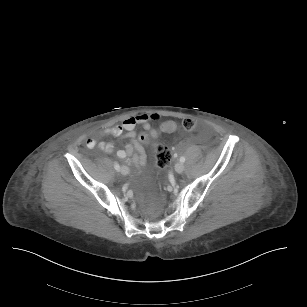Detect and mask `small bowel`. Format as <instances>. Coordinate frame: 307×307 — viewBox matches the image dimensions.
Here are the masks:
<instances>
[{
    "mask_svg": "<svg viewBox=\"0 0 307 307\" xmlns=\"http://www.w3.org/2000/svg\"><path fill=\"white\" fill-rule=\"evenodd\" d=\"M157 114H138L135 116L127 117L121 124L110 127L102 132L103 135L112 137H125L130 139V143L123 149L116 152L119 159H129L130 162L137 168H142L147 163V154L145 148L140 144L137 139V133L135 131L136 126L140 125L144 129L151 126V121L158 119ZM87 147L93 148L98 146L105 153H112L115 151V146L112 142H97L95 139H88Z\"/></svg>",
    "mask_w": 307,
    "mask_h": 307,
    "instance_id": "1",
    "label": "small bowel"
}]
</instances>
